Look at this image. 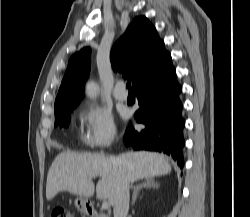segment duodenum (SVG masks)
Returning <instances> with one entry per match:
<instances>
[{"label": "duodenum", "instance_id": "obj_1", "mask_svg": "<svg viewBox=\"0 0 250 217\" xmlns=\"http://www.w3.org/2000/svg\"><path fill=\"white\" fill-rule=\"evenodd\" d=\"M87 210H88L89 214H91V215L94 213L93 209L90 208L89 206H87Z\"/></svg>", "mask_w": 250, "mask_h": 217}]
</instances>
